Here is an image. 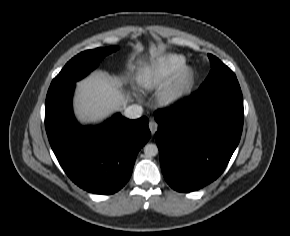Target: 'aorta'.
Here are the masks:
<instances>
[{"label": "aorta", "mask_w": 290, "mask_h": 236, "mask_svg": "<svg viewBox=\"0 0 290 236\" xmlns=\"http://www.w3.org/2000/svg\"><path fill=\"white\" fill-rule=\"evenodd\" d=\"M144 153L147 157H154L158 154V147L155 144L149 143L144 146Z\"/></svg>", "instance_id": "aorta-1"}]
</instances>
